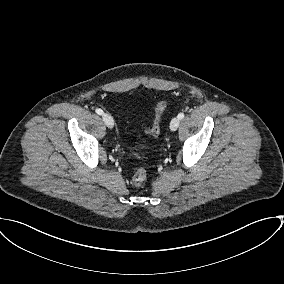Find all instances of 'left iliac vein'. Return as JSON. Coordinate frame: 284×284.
Wrapping results in <instances>:
<instances>
[{
    "mask_svg": "<svg viewBox=\"0 0 284 284\" xmlns=\"http://www.w3.org/2000/svg\"><path fill=\"white\" fill-rule=\"evenodd\" d=\"M180 125V119L178 117H174L170 122L171 131H176Z\"/></svg>",
    "mask_w": 284,
    "mask_h": 284,
    "instance_id": "obj_1",
    "label": "left iliac vein"
}]
</instances>
